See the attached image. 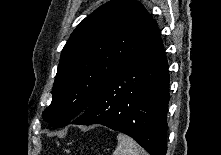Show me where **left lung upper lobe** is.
<instances>
[{"mask_svg":"<svg viewBox=\"0 0 221 155\" xmlns=\"http://www.w3.org/2000/svg\"><path fill=\"white\" fill-rule=\"evenodd\" d=\"M156 26L135 0H111L86 17L62 50L52 102L43 119L63 127L83 113Z\"/></svg>","mask_w":221,"mask_h":155,"instance_id":"left-lung-upper-lobe-1","label":"left lung upper lobe"}]
</instances>
